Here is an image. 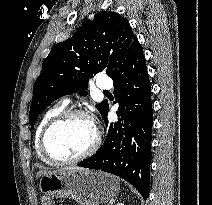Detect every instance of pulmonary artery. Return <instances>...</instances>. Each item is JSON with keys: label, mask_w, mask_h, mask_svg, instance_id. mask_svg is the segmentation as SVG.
I'll list each match as a JSON object with an SVG mask.
<instances>
[{"label": "pulmonary artery", "mask_w": 212, "mask_h": 205, "mask_svg": "<svg viewBox=\"0 0 212 205\" xmlns=\"http://www.w3.org/2000/svg\"><path fill=\"white\" fill-rule=\"evenodd\" d=\"M97 87L101 90L107 91L113 87L112 80L108 77H101L97 80ZM68 103L69 99L65 98L63 104L67 105Z\"/></svg>", "instance_id": "1"}]
</instances>
